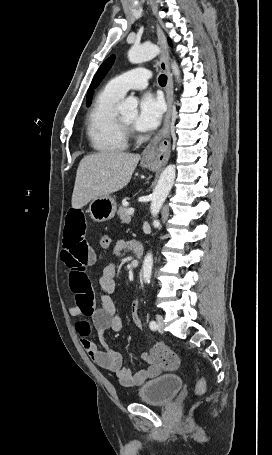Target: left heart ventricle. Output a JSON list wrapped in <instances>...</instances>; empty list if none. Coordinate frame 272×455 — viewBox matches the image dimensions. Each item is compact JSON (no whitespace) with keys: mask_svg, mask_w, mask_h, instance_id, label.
Returning a JSON list of instances; mask_svg holds the SVG:
<instances>
[{"mask_svg":"<svg viewBox=\"0 0 272 455\" xmlns=\"http://www.w3.org/2000/svg\"><path fill=\"white\" fill-rule=\"evenodd\" d=\"M121 117L123 120L128 123V124H133L136 118V113L135 112H128V113H123L121 114Z\"/></svg>","mask_w":272,"mask_h":455,"instance_id":"obj_1","label":"left heart ventricle"}]
</instances>
